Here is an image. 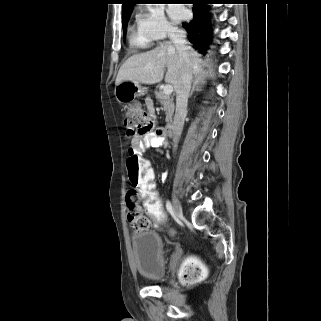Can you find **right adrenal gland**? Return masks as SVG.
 Segmentation results:
<instances>
[{
  "mask_svg": "<svg viewBox=\"0 0 321 321\" xmlns=\"http://www.w3.org/2000/svg\"><path fill=\"white\" fill-rule=\"evenodd\" d=\"M203 85H204L203 81H199V80L195 79L192 83V88L189 93V97H191L193 95L194 91H198V92L202 91Z\"/></svg>",
  "mask_w": 321,
  "mask_h": 321,
  "instance_id": "2a0ac1e0",
  "label": "right adrenal gland"
}]
</instances>
